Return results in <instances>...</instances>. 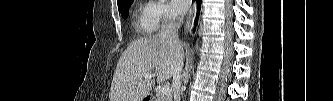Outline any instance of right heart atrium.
Here are the masks:
<instances>
[{"instance_id": "d8ad5b80", "label": "right heart atrium", "mask_w": 333, "mask_h": 101, "mask_svg": "<svg viewBox=\"0 0 333 101\" xmlns=\"http://www.w3.org/2000/svg\"><path fill=\"white\" fill-rule=\"evenodd\" d=\"M152 15L157 25L171 22L177 18V13L166 1H156L152 3Z\"/></svg>"}]
</instances>
